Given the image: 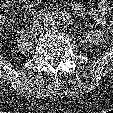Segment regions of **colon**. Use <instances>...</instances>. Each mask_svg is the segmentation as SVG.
Returning a JSON list of instances; mask_svg holds the SVG:
<instances>
[{
    "instance_id": "obj_1",
    "label": "colon",
    "mask_w": 113,
    "mask_h": 113,
    "mask_svg": "<svg viewBox=\"0 0 113 113\" xmlns=\"http://www.w3.org/2000/svg\"><path fill=\"white\" fill-rule=\"evenodd\" d=\"M1 1H9V0H0V26L4 23V15L1 12L2 4ZM30 1H37V0H30Z\"/></svg>"
}]
</instances>
